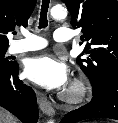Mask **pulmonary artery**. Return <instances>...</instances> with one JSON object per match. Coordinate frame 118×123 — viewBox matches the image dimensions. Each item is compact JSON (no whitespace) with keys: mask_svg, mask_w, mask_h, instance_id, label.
<instances>
[{"mask_svg":"<svg viewBox=\"0 0 118 123\" xmlns=\"http://www.w3.org/2000/svg\"><path fill=\"white\" fill-rule=\"evenodd\" d=\"M54 40L57 42H66L71 40L72 33L70 29L59 27L54 32ZM47 45V41L37 35L31 33H24V38L13 43L9 49L11 54H20L30 51H36L44 48Z\"/></svg>","mask_w":118,"mask_h":123,"instance_id":"pulmonary-artery-1","label":"pulmonary artery"}]
</instances>
